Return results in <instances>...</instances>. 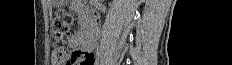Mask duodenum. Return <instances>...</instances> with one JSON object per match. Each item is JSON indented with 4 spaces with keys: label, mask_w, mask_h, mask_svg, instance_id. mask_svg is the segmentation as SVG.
I'll list each match as a JSON object with an SVG mask.
<instances>
[{
    "label": "duodenum",
    "mask_w": 232,
    "mask_h": 65,
    "mask_svg": "<svg viewBox=\"0 0 232 65\" xmlns=\"http://www.w3.org/2000/svg\"><path fill=\"white\" fill-rule=\"evenodd\" d=\"M78 12L82 20L83 36L85 38L84 47L90 50L93 48L94 44H96V40L99 36L98 20L91 10L82 6L78 7Z\"/></svg>",
    "instance_id": "1"
}]
</instances>
